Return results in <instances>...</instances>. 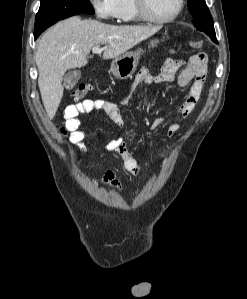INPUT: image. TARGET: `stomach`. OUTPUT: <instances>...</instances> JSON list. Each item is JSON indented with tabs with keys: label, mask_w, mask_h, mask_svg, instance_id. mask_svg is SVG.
Returning a JSON list of instances; mask_svg holds the SVG:
<instances>
[{
	"label": "stomach",
	"mask_w": 247,
	"mask_h": 299,
	"mask_svg": "<svg viewBox=\"0 0 247 299\" xmlns=\"http://www.w3.org/2000/svg\"><path fill=\"white\" fill-rule=\"evenodd\" d=\"M159 44L158 39L151 40L148 43V48L157 47ZM144 53L142 48H138L135 51L126 52L123 55L115 58L111 63L110 72L117 79H128L135 73L141 55Z\"/></svg>",
	"instance_id": "1"
}]
</instances>
